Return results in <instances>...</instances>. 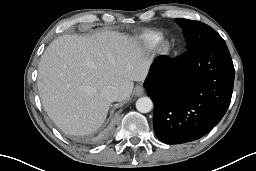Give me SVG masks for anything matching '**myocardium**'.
I'll return each mask as SVG.
<instances>
[{"mask_svg":"<svg viewBox=\"0 0 256 171\" xmlns=\"http://www.w3.org/2000/svg\"><path fill=\"white\" fill-rule=\"evenodd\" d=\"M172 50V44L169 40L163 39L157 45V53L161 56H167Z\"/></svg>","mask_w":256,"mask_h":171,"instance_id":"f54148a6","label":"myocardium"}]
</instances>
